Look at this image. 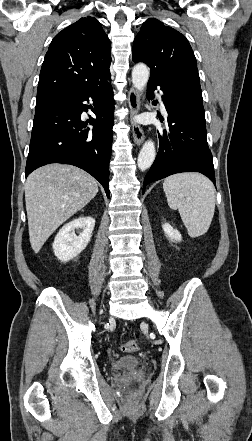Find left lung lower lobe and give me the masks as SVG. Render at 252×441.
<instances>
[{"instance_id": "0a47b994", "label": "left lung lower lobe", "mask_w": 252, "mask_h": 441, "mask_svg": "<svg viewBox=\"0 0 252 441\" xmlns=\"http://www.w3.org/2000/svg\"><path fill=\"white\" fill-rule=\"evenodd\" d=\"M157 87L163 92L169 130L159 134V152L145 176L143 193L149 183L180 172H200L215 184L202 96L182 82L149 81L148 98Z\"/></svg>"}]
</instances>
